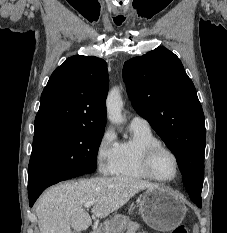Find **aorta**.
<instances>
[{
    "label": "aorta",
    "mask_w": 227,
    "mask_h": 233,
    "mask_svg": "<svg viewBox=\"0 0 227 233\" xmlns=\"http://www.w3.org/2000/svg\"><path fill=\"white\" fill-rule=\"evenodd\" d=\"M106 107L108 118L112 123L120 124L123 122V101L120 95L119 88L115 87L109 92L106 100Z\"/></svg>",
    "instance_id": "obj_1"
}]
</instances>
